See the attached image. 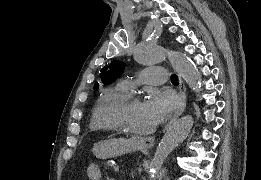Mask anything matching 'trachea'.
Here are the masks:
<instances>
[{
    "instance_id": "3493384b",
    "label": "trachea",
    "mask_w": 261,
    "mask_h": 180,
    "mask_svg": "<svg viewBox=\"0 0 261 180\" xmlns=\"http://www.w3.org/2000/svg\"><path fill=\"white\" fill-rule=\"evenodd\" d=\"M171 82L172 83H178V77L176 74H172L171 75Z\"/></svg>"
}]
</instances>
